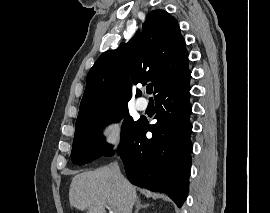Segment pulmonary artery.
<instances>
[{"mask_svg":"<svg viewBox=\"0 0 270 213\" xmlns=\"http://www.w3.org/2000/svg\"><path fill=\"white\" fill-rule=\"evenodd\" d=\"M136 107L140 111L145 110L147 108V101L144 98H139L136 101Z\"/></svg>","mask_w":270,"mask_h":213,"instance_id":"obj_1","label":"pulmonary artery"}]
</instances>
